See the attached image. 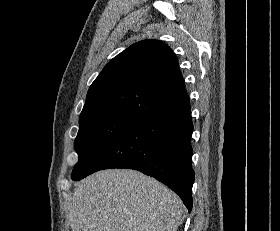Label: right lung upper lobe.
Returning a JSON list of instances; mask_svg holds the SVG:
<instances>
[{
  "mask_svg": "<svg viewBox=\"0 0 280 231\" xmlns=\"http://www.w3.org/2000/svg\"><path fill=\"white\" fill-rule=\"evenodd\" d=\"M178 60L162 41L143 40L114 57L90 86L79 119L138 122L189 102Z\"/></svg>",
  "mask_w": 280,
  "mask_h": 231,
  "instance_id": "obj_1",
  "label": "right lung upper lobe"
}]
</instances>
